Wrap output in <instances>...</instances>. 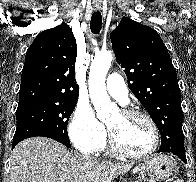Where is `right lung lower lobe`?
I'll list each match as a JSON object with an SVG mask.
<instances>
[{
	"mask_svg": "<svg viewBox=\"0 0 196 182\" xmlns=\"http://www.w3.org/2000/svg\"><path fill=\"white\" fill-rule=\"evenodd\" d=\"M38 136H43V137L52 138V139H54V140H56V141L62 143L61 140H60L58 137L54 136V135H38ZM20 141H22V140H20ZM20 141H18V142H16V143H13V147H15ZM62 144H63V143H62Z\"/></svg>",
	"mask_w": 196,
	"mask_h": 182,
	"instance_id": "right-lung-lower-lobe-1",
	"label": "right lung lower lobe"
}]
</instances>
